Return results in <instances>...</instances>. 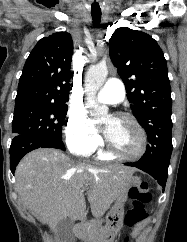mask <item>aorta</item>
<instances>
[{
  "mask_svg": "<svg viewBox=\"0 0 187 242\" xmlns=\"http://www.w3.org/2000/svg\"><path fill=\"white\" fill-rule=\"evenodd\" d=\"M108 75L106 64L91 66L85 75V92L88 106L92 108L91 116L96 120L103 119L108 114V107L99 105L95 98L98 90L104 84Z\"/></svg>",
  "mask_w": 187,
  "mask_h": 242,
  "instance_id": "762f6f07",
  "label": "aorta"
}]
</instances>
